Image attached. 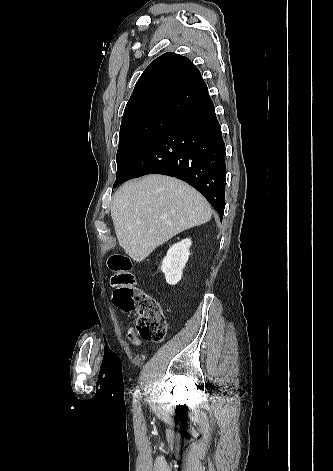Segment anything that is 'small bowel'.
<instances>
[{"label":"small bowel","instance_id":"c3829d8e","mask_svg":"<svg viewBox=\"0 0 333 471\" xmlns=\"http://www.w3.org/2000/svg\"><path fill=\"white\" fill-rule=\"evenodd\" d=\"M126 336L129 340V342L135 346V347H140L142 346V343L139 339V337L137 336V334L135 333V331L132 329V328H127L126 329Z\"/></svg>","mask_w":333,"mask_h":471}]
</instances>
